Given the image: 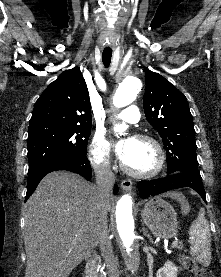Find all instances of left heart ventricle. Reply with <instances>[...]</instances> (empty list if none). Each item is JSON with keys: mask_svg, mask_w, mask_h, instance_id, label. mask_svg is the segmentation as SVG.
Wrapping results in <instances>:
<instances>
[{"mask_svg": "<svg viewBox=\"0 0 221 277\" xmlns=\"http://www.w3.org/2000/svg\"><path fill=\"white\" fill-rule=\"evenodd\" d=\"M129 148L123 162L128 168L136 172H148L154 169L157 163V154L154 147L136 139L129 140Z\"/></svg>", "mask_w": 221, "mask_h": 277, "instance_id": "left-heart-ventricle-1", "label": "left heart ventricle"}]
</instances>
